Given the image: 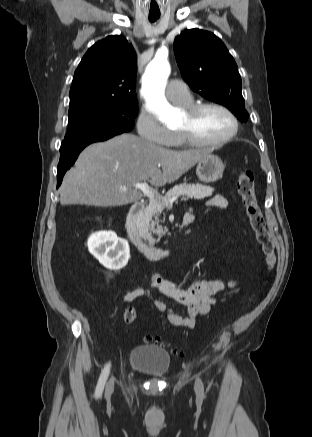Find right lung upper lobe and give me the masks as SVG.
<instances>
[{
  "mask_svg": "<svg viewBox=\"0 0 312 437\" xmlns=\"http://www.w3.org/2000/svg\"><path fill=\"white\" fill-rule=\"evenodd\" d=\"M136 53L126 38L108 36L84 55L73 77L70 107L91 103H138Z\"/></svg>",
  "mask_w": 312,
  "mask_h": 437,
  "instance_id": "obj_1",
  "label": "right lung upper lobe"
}]
</instances>
